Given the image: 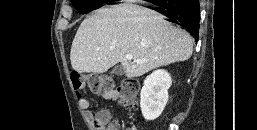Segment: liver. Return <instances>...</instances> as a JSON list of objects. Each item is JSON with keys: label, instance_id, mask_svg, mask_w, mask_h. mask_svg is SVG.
I'll return each mask as SVG.
<instances>
[{"label": "liver", "instance_id": "6515ba94", "mask_svg": "<svg viewBox=\"0 0 257 130\" xmlns=\"http://www.w3.org/2000/svg\"><path fill=\"white\" fill-rule=\"evenodd\" d=\"M193 44L190 34L158 12L125 3L100 8L83 20L72 42L70 60L75 71L95 74L120 62L126 77L134 78L188 60ZM127 54L133 55V61L126 59Z\"/></svg>", "mask_w": 257, "mask_h": 130}]
</instances>
